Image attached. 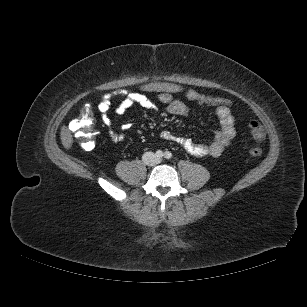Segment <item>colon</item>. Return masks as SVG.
<instances>
[{
	"instance_id": "1",
	"label": "colon",
	"mask_w": 307,
	"mask_h": 307,
	"mask_svg": "<svg viewBox=\"0 0 307 307\" xmlns=\"http://www.w3.org/2000/svg\"><path fill=\"white\" fill-rule=\"evenodd\" d=\"M193 103L205 107L230 106L232 101L223 96L199 95ZM248 128L256 138L259 145L249 149V154L253 157L262 155L263 150L260 144L263 142L265 134L262 124L257 120H250ZM70 130L79 139L80 145L85 150H92L96 145L97 131L94 128L93 112L90 105H86L79 115L70 123Z\"/></svg>"
}]
</instances>
